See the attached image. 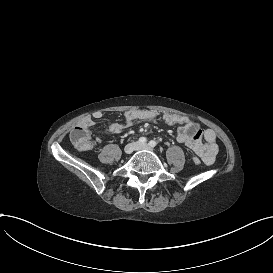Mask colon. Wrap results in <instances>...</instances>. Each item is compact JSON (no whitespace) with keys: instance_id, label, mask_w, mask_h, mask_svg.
Instances as JSON below:
<instances>
[{"instance_id":"5ec220e1","label":"colon","mask_w":273,"mask_h":273,"mask_svg":"<svg viewBox=\"0 0 273 273\" xmlns=\"http://www.w3.org/2000/svg\"><path fill=\"white\" fill-rule=\"evenodd\" d=\"M92 130V122L88 118H82L77 127L69 133L68 139L78 151H91L95 147V140L88 136Z\"/></svg>"}]
</instances>
